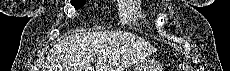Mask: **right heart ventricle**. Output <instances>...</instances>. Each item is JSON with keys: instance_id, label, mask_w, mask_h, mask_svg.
<instances>
[{"instance_id": "1", "label": "right heart ventricle", "mask_w": 230, "mask_h": 71, "mask_svg": "<svg viewBox=\"0 0 230 71\" xmlns=\"http://www.w3.org/2000/svg\"><path fill=\"white\" fill-rule=\"evenodd\" d=\"M140 2L141 1L139 0L124 2V4L120 7L123 22H135L142 18Z\"/></svg>"}]
</instances>
